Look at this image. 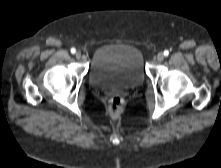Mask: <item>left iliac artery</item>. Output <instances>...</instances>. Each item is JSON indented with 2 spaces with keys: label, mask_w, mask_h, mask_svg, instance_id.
<instances>
[{
  "label": "left iliac artery",
  "mask_w": 221,
  "mask_h": 168,
  "mask_svg": "<svg viewBox=\"0 0 221 168\" xmlns=\"http://www.w3.org/2000/svg\"><path fill=\"white\" fill-rule=\"evenodd\" d=\"M164 55H165V56H168V55H169V51H168V50H165V51H164Z\"/></svg>",
  "instance_id": "44dca946"
}]
</instances>
